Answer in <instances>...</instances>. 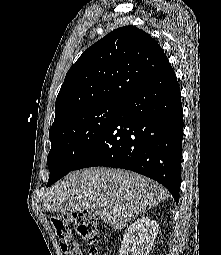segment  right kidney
<instances>
[{
    "instance_id": "obj_1",
    "label": "right kidney",
    "mask_w": 221,
    "mask_h": 255,
    "mask_svg": "<svg viewBox=\"0 0 221 255\" xmlns=\"http://www.w3.org/2000/svg\"><path fill=\"white\" fill-rule=\"evenodd\" d=\"M157 232L156 221L148 217L137 219L125 231L119 255H148Z\"/></svg>"
}]
</instances>
